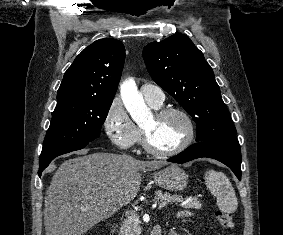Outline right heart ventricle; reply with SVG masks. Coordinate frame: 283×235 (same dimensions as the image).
I'll return each mask as SVG.
<instances>
[{
	"label": "right heart ventricle",
	"instance_id": "obj_1",
	"mask_svg": "<svg viewBox=\"0 0 283 235\" xmlns=\"http://www.w3.org/2000/svg\"><path fill=\"white\" fill-rule=\"evenodd\" d=\"M148 103H149V102H148ZM149 105H150L151 107L155 108V109H158V108L160 107V105H154V104H152V103H149Z\"/></svg>",
	"mask_w": 283,
	"mask_h": 235
}]
</instances>
